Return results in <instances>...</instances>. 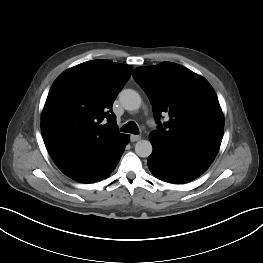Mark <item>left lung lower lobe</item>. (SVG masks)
I'll return each instance as SVG.
<instances>
[{
	"mask_svg": "<svg viewBox=\"0 0 263 263\" xmlns=\"http://www.w3.org/2000/svg\"><path fill=\"white\" fill-rule=\"evenodd\" d=\"M153 152L148 167L158 179L174 184L190 182L202 175L213 162L219 147L193 139H173L151 132Z\"/></svg>",
	"mask_w": 263,
	"mask_h": 263,
	"instance_id": "0a47b994",
	"label": "left lung lower lobe"
}]
</instances>
